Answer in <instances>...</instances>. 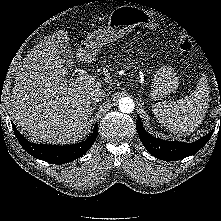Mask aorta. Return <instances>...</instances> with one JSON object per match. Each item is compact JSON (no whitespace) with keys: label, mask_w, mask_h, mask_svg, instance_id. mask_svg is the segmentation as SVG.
<instances>
[{"label":"aorta","mask_w":221,"mask_h":221,"mask_svg":"<svg viewBox=\"0 0 221 221\" xmlns=\"http://www.w3.org/2000/svg\"><path fill=\"white\" fill-rule=\"evenodd\" d=\"M119 110L123 113H130L134 110V101L130 97H123L119 100Z\"/></svg>","instance_id":"aorta-1"}]
</instances>
